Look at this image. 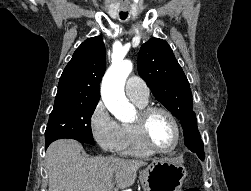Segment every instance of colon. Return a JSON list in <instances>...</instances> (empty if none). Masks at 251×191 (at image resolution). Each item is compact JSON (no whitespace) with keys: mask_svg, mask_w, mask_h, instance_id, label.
<instances>
[{"mask_svg":"<svg viewBox=\"0 0 251 191\" xmlns=\"http://www.w3.org/2000/svg\"><path fill=\"white\" fill-rule=\"evenodd\" d=\"M185 191H199V189L196 187H188V188H186Z\"/></svg>","mask_w":251,"mask_h":191,"instance_id":"obj_1","label":"colon"}]
</instances>
